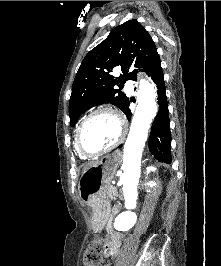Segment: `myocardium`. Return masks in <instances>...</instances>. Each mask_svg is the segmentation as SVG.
Returning a JSON list of instances; mask_svg holds the SVG:
<instances>
[{
	"label": "myocardium",
	"mask_w": 221,
	"mask_h": 266,
	"mask_svg": "<svg viewBox=\"0 0 221 266\" xmlns=\"http://www.w3.org/2000/svg\"><path fill=\"white\" fill-rule=\"evenodd\" d=\"M102 113H107L110 114L112 116H114L119 123L120 126V133L119 136L117 137V139L109 146L99 149V150H95L92 151L90 149H88L84 142H83V134L85 131L86 126L88 125V123L98 114H102ZM127 134V124L126 121L124 120V118L114 109L112 108H98L94 111H92L90 114H88L84 120L82 121V123L80 124L78 131H77V135H76V145L78 150L80 151L81 154L87 156V157H95V156H99L102 155L112 149H114L115 147H117L126 137Z\"/></svg>",
	"instance_id": "f54148a6"
}]
</instances>
